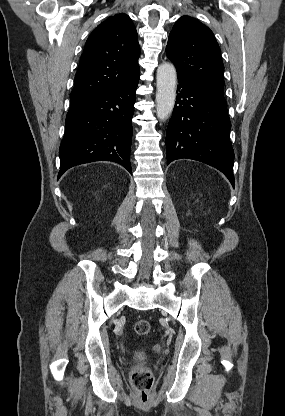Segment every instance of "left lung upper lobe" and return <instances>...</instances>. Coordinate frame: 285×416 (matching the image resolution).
<instances>
[{
	"mask_svg": "<svg viewBox=\"0 0 285 416\" xmlns=\"http://www.w3.org/2000/svg\"><path fill=\"white\" fill-rule=\"evenodd\" d=\"M166 54L178 78L223 96L224 65L218 43L207 26L189 16L179 18L170 32Z\"/></svg>",
	"mask_w": 285,
	"mask_h": 416,
	"instance_id": "left-lung-upper-lobe-1",
	"label": "left lung upper lobe"
}]
</instances>
